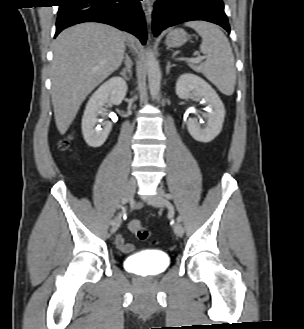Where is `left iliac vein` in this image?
<instances>
[{"mask_svg":"<svg viewBox=\"0 0 304 329\" xmlns=\"http://www.w3.org/2000/svg\"><path fill=\"white\" fill-rule=\"evenodd\" d=\"M166 203V200L164 199V191L162 189H158L157 190V195H155L152 199H151V204L154 207H163ZM174 232L177 236L181 237L184 233V228L182 226V224L177 221L174 224Z\"/></svg>","mask_w":304,"mask_h":329,"instance_id":"left-iliac-vein-1","label":"left iliac vein"}]
</instances>
